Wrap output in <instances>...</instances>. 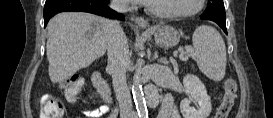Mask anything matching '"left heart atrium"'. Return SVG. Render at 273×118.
I'll use <instances>...</instances> for the list:
<instances>
[{
  "label": "left heart atrium",
  "instance_id": "left-heart-atrium-1",
  "mask_svg": "<svg viewBox=\"0 0 273 118\" xmlns=\"http://www.w3.org/2000/svg\"><path fill=\"white\" fill-rule=\"evenodd\" d=\"M139 2L145 3V2H148V0H139Z\"/></svg>",
  "mask_w": 273,
  "mask_h": 118
}]
</instances>
